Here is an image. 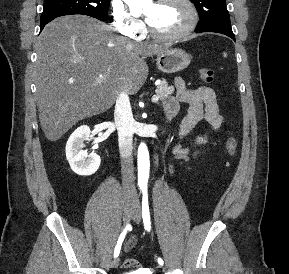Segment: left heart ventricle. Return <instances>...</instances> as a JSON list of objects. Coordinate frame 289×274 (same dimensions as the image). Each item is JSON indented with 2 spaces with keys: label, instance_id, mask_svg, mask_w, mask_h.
Segmentation results:
<instances>
[{
  "label": "left heart ventricle",
  "instance_id": "b2bd125f",
  "mask_svg": "<svg viewBox=\"0 0 289 274\" xmlns=\"http://www.w3.org/2000/svg\"><path fill=\"white\" fill-rule=\"evenodd\" d=\"M144 15L153 29L162 34L180 31L189 19L188 9L180 0L151 3L144 9Z\"/></svg>",
  "mask_w": 289,
  "mask_h": 274
}]
</instances>
